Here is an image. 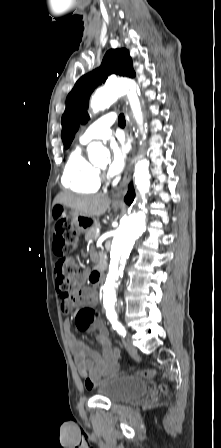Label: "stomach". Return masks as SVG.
Listing matches in <instances>:
<instances>
[{
    "label": "stomach",
    "instance_id": "stomach-1",
    "mask_svg": "<svg viewBox=\"0 0 221 448\" xmlns=\"http://www.w3.org/2000/svg\"><path fill=\"white\" fill-rule=\"evenodd\" d=\"M113 207L115 209L119 208L118 205H113ZM55 208L57 212H62L64 207L58 204ZM70 217L72 219V223L75 225V227L80 233L87 232L95 224L94 219H92L89 216L83 215L75 210L70 212Z\"/></svg>",
    "mask_w": 221,
    "mask_h": 448
}]
</instances>
